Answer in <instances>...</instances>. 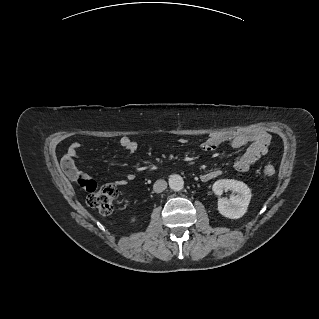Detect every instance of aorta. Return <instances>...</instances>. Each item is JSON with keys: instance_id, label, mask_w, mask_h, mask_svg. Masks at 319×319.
I'll use <instances>...</instances> for the list:
<instances>
[{"instance_id": "762f6f07", "label": "aorta", "mask_w": 319, "mask_h": 319, "mask_svg": "<svg viewBox=\"0 0 319 319\" xmlns=\"http://www.w3.org/2000/svg\"><path fill=\"white\" fill-rule=\"evenodd\" d=\"M169 186L173 191H180L184 187V180L180 175H171L169 178Z\"/></svg>"}]
</instances>
